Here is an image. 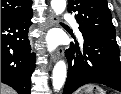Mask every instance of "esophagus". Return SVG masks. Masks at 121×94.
<instances>
[{
  "label": "esophagus",
  "instance_id": "obj_1",
  "mask_svg": "<svg viewBox=\"0 0 121 94\" xmlns=\"http://www.w3.org/2000/svg\"><path fill=\"white\" fill-rule=\"evenodd\" d=\"M56 24H57V22L55 20V15L50 12L48 14V17H47V23H46L45 28L46 29L52 28ZM59 57H60V51L56 50L55 52L51 53L50 60L53 61V62H55Z\"/></svg>",
  "mask_w": 121,
  "mask_h": 94
}]
</instances>
